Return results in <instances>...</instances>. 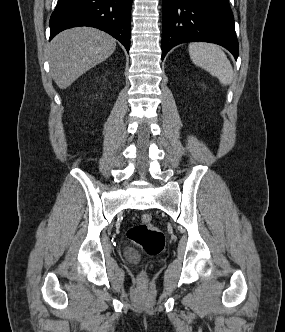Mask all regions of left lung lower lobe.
I'll return each instance as SVG.
<instances>
[{
  "label": "left lung lower lobe",
  "mask_w": 285,
  "mask_h": 332,
  "mask_svg": "<svg viewBox=\"0 0 285 332\" xmlns=\"http://www.w3.org/2000/svg\"><path fill=\"white\" fill-rule=\"evenodd\" d=\"M206 41L239 54L228 0H162V60L174 46Z\"/></svg>",
  "instance_id": "0a47b994"
}]
</instances>
